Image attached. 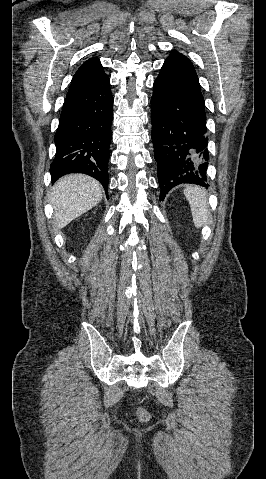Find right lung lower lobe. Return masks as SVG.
Instances as JSON below:
<instances>
[{
	"label": "right lung lower lobe",
	"instance_id": "right-lung-lower-lobe-1",
	"mask_svg": "<svg viewBox=\"0 0 266 479\" xmlns=\"http://www.w3.org/2000/svg\"><path fill=\"white\" fill-rule=\"evenodd\" d=\"M112 106L110 80L105 73L71 82L54 137L52 183L68 173H85L97 179L108 196Z\"/></svg>",
	"mask_w": 266,
	"mask_h": 479
}]
</instances>
